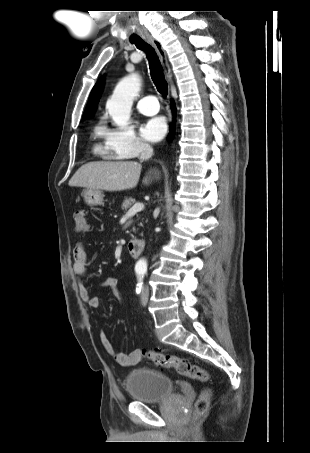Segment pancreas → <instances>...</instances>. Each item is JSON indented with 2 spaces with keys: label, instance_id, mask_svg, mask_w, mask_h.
Returning <instances> with one entry per match:
<instances>
[{
  "label": "pancreas",
  "instance_id": "obj_1",
  "mask_svg": "<svg viewBox=\"0 0 310 453\" xmlns=\"http://www.w3.org/2000/svg\"><path fill=\"white\" fill-rule=\"evenodd\" d=\"M135 202H136V201H135L134 198H131V197H130V198H126V199L123 201L122 205H121L122 210H125V211H126V210L129 209Z\"/></svg>",
  "mask_w": 310,
  "mask_h": 453
}]
</instances>
